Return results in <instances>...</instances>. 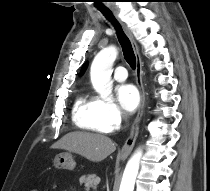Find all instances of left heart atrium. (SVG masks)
<instances>
[{
    "label": "left heart atrium",
    "mask_w": 210,
    "mask_h": 191,
    "mask_svg": "<svg viewBox=\"0 0 210 191\" xmlns=\"http://www.w3.org/2000/svg\"><path fill=\"white\" fill-rule=\"evenodd\" d=\"M117 96L122 108L127 112L137 109L140 102V95L136 87L132 84L120 85L117 89Z\"/></svg>",
    "instance_id": "obj_1"
}]
</instances>
